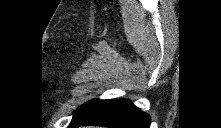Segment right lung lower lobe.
Returning <instances> with one entry per match:
<instances>
[{
    "label": "right lung lower lobe",
    "mask_w": 221,
    "mask_h": 128,
    "mask_svg": "<svg viewBox=\"0 0 221 128\" xmlns=\"http://www.w3.org/2000/svg\"><path fill=\"white\" fill-rule=\"evenodd\" d=\"M103 126L110 128H149L150 116L129 100H99L74 115L70 127Z\"/></svg>",
    "instance_id": "1"
}]
</instances>
